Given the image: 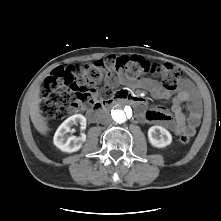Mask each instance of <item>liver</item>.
<instances>
[{"label":"liver","mask_w":221,"mask_h":221,"mask_svg":"<svg viewBox=\"0 0 221 221\" xmlns=\"http://www.w3.org/2000/svg\"><path fill=\"white\" fill-rule=\"evenodd\" d=\"M40 102L41 99L39 97V89L37 88L36 91L34 92L32 102L30 105V118L36 130L39 133L46 135L49 128L47 125L46 118L43 117L41 114L40 105H39Z\"/></svg>","instance_id":"liver-1"}]
</instances>
